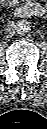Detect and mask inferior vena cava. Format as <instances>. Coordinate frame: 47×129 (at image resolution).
<instances>
[{"instance_id":"602c4592","label":"inferior vena cava","mask_w":47,"mask_h":129,"mask_svg":"<svg viewBox=\"0 0 47 129\" xmlns=\"http://www.w3.org/2000/svg\"><path fill=\"white\" fill-rule=\"evenodd\" d=\"M15 34V30L14 29H8L6 31V37L10 38Z\"/></svg>"}]
</instances>
